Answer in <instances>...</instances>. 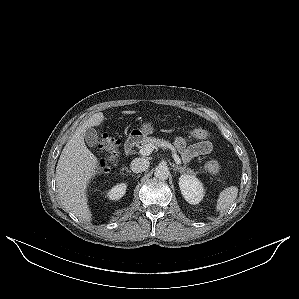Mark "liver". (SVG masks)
I'll return each mask as SVG.
<instances>
[{
  "mask_svg": "<svg viewBox=\"0 0 299 299\" xmlns=\"http://www.w3.org/2000/svg\"><path fill=\"white\" fill-rule=\"evenodd\" d=\"M135 114L136 111H122ZM101 112L93 114L78 127L61 152L56 167V182L62 207L79 219L90 222L92 214L88 205L87 186L100 170L98 159L86 147L84 131L103 122Z\"/></svg>",
  "mask_w": 299,
  "mask_h": 299,
  "instance_id": "6515ba94",
  "label": "liver"
}]
</instances>
